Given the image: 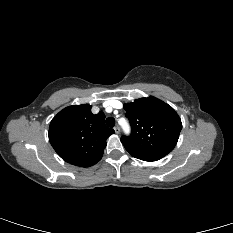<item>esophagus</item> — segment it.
Here are the masks:
<instances>
[{"label": "esophagus", "mask_w": 233, "mask_h": 233, "mask_svg": "<svg viewBox=\"0 0 233 233\" xmlns=\"http://www.w3.org/2000/svg\"><path fill=\"white\" fill-rule=\"evenodd\" d=\"M114 131H115L116 134H119V133H120V128H119V126H115V127H114Z\"/></svg>", "instance_id": "34e87169"}]
</instances>
